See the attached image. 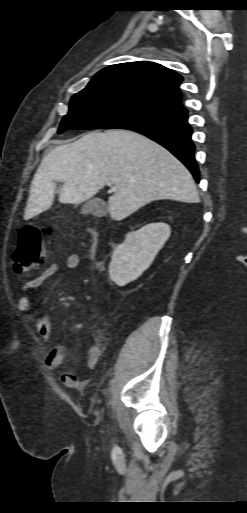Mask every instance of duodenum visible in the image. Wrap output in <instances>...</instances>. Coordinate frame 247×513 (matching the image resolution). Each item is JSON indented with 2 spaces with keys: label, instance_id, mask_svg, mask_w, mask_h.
Instances as JSON below:
<instances>
[{
  "label": "duodenum",
  "instance_id": "1",
  "mask_svg": "<svg viewBox=\"0 0 247 513\" xmlns=\"http://www.w3.org/2000/svg\"><path fill=\"white\" fill-rule=\"evenodd\" d=\"M95 234H96V232H95V231H93V232H92V237H93V238H95Z\"/></svg>",
  "mask_w": 247,
  "mask_h": 513
}]
</instances>
